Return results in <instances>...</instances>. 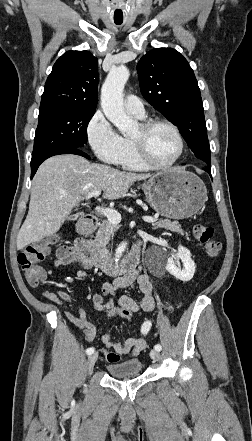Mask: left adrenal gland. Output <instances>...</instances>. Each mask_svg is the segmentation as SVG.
Returning a JSON list of instances; mask_svg holds the SVG:
<instances>
[{
    "label": "left adrenal gland",
    "mask_w": 252,
    "mask_h": 441,
    "mask_svg": "<svg viewBox=\"0 0 252 441\" xmlns=\"http://www.w3.org/2000/svg\"><path fill=\"white\" fill-rule=\"evenodd\" d=\"M152 229H153V230H155V229H156V227H153Z\"/></svg>",
    "instance_id": "a2214340"
}]
</instances>
